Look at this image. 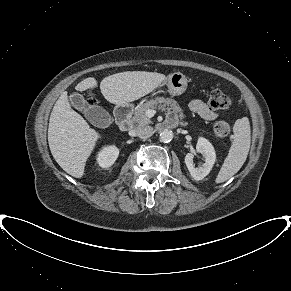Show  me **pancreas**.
I'll return each mask as SVG.
<instances>
[{
    "label": "pancreas",
    "instance_id": "cf45deb5",
    "mask_svg": "<svg viewBox=\"0 0 291 291\" xmlns=\"http://www.w3.org/2000/svg\"><path fill=\"white\" fill-rule=\"evenodd\" d=\"M161 107H166L167 110L172 109L175 113H177L178 117L181 120L180 122L181 126L188 125V123L184 121V114L181 107L177 105L175 100L170 99V98H165V97H157L155 99H151L145 102L144 104L140 105L136 109L132 117V122L138 126H144V125L150 124L151 120L150 118L146 116V111L149 109H157V108L159 109Z\"/></svg>",
    "mask_w": 291,
    "mask_h": 291
}]
</instances>
